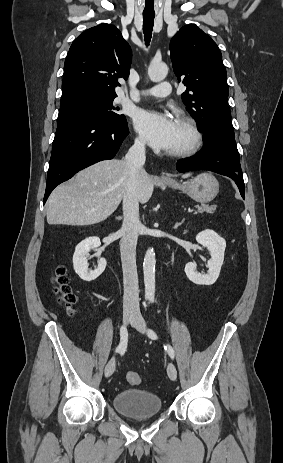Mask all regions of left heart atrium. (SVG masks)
<instances>
[{
  "label": "left heart atrium",
  "instance_id": "1",
  "mask_svg": "<svg viewBox=\"0 0 283 463\" xmlns=\"http://www.w3.org/2000/svg\"><path fill=\"white\" fill-rule=\"evenodd\" d=\"M135 126L144 140L158 150H169L174 141L176 122L169 116L155 111H139Z\"/></svg>",
  "mask_w": 283,
  "mask_h": 463
}]
</instances>
